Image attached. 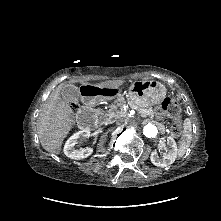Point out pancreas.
Returning a JSON list of instances; mask_svg holds the SVG:
<instances>
[{
  "instance_id": "pancreas-1",
  "label": "pancreas",
  "mask_w": 221,
  "mask_h": 221,
  "mask_svg": "<svg viewBox=\"0 0 221 221\" xmlns=\"http://www.w3.org/2000/svg\"><path fill=\"white\" fill-rule=\"evenodd\" d=\"M129 103L138 110V112L143 117H154V111L151 107L143 108L135 105L131 101ZM126 104V100L124 97H119L114 101V104L111 106V108L104 112V113H98L100 115L101 120L104 123H109L113 118H120L127 115V112L123 109V105Z\"/></svg>"
}]
</instances>
